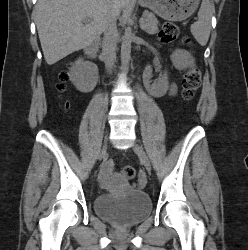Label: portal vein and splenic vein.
Returning <instances> with one entry per match:
<instances>
[{
    "label": "portal vein and splenic vein",
    "mask_w": 248,
    "mask_h": 250,
    "mask_svg": "<svg viewBox=\"0 0 248 250\" xmlns=\"http://www.w3.org/2000/svg\"><path fill=\"white\" fill-rule=\"evenodd\" d=\"M144 22V19L143 18H140L139 19V23L141 24V23H143Z\"/></svg>",
    "instance_id": "1"
}]
</instances>
